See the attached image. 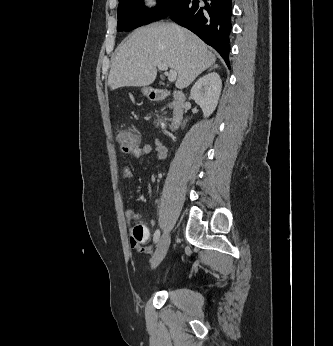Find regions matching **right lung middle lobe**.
<instances>
[{
  "instance_id": "right-lung-middle-lobe-1",
  "label": "right lung middle lobe",
  "mask_w": 333,
  "mask_h": 346,
  "mask_svg": "<svg viewBox=\"0 0 333 346\" xmlns=\"http://www.w3.org/2000/svg\"><path fill=\"white\" fill-rule=\"evenodd\" d=\"M181 0H157V7L148 9L143 0H119L117 31H131L142 25L167 17Z\"/></svg>"
}]
</instances>
